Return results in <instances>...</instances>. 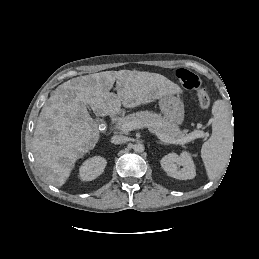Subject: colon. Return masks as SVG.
Instances as JSON below:
<instances>
[{
    "label": "colon",
    "instance_id": "colon-1",
    "mask_svg": "<svg viewBox=\"0 0 259 259\" xmlns=\"http://www.w3.org/2000/svg\"><path fill=\"white\" fill-rule=\"evenodd\" d=\"M176 76L184 88L196 92L199 106L203 110L208 109L210 106V97L207 90L203 87L199 77L187 69L177 70Z\"/></svg>",
    "mask_w": 259,
    "mask_h": 259
}]
</instances>
